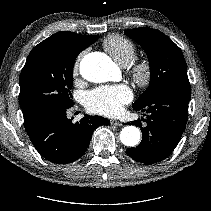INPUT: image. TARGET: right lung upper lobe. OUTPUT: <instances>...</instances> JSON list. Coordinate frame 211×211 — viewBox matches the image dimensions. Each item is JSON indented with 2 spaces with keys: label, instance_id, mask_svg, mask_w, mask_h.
<instances>
[{
  "label": "right lung upper lobe",
  "instance_id": "right-lung-upper-lobe-1",
  "mask_svg": "<svg viewBox=\"0 0 211 211\" xmlns=\"http://www.w3.org/2000/svg\"><path fill=\"white\" fill-rule=\"evenodd\" d=\"M97 40V36L79 35L73 32L62 31L53 34L43 42L58 53H80Z\"/></svg>",
  "mask_w": 211,
  "mask_h": 211
}]
</instances>
